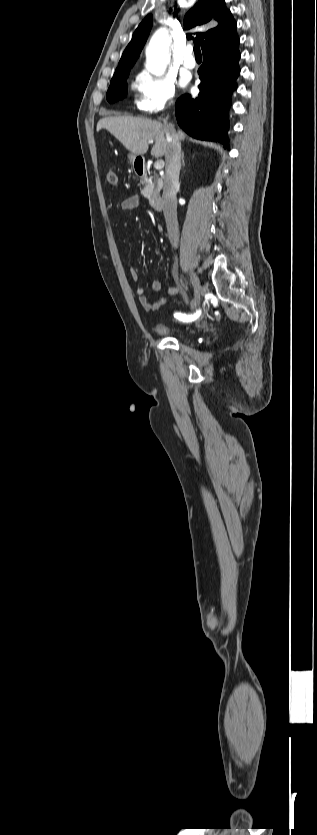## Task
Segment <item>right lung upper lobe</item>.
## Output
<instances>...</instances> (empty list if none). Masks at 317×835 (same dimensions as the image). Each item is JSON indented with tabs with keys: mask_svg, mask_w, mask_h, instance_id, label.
I'll return each mask as SVG.
<instances>
[{
	"mask_svg": "<svg viewBox=\"0 0 317 835\" xmlns=\"http://www.w3.org/2000/svg\"><path fill=\"white\" fill-rule=\"evenodd\" d=\"M186 29L199 28L194 32L195 40L203 48L218 40L236 33V22L227 10L224 0H198L184 17ZM152 27V15H148L135 30L131 42L122 54L116 71L131 69L147 40ZM191 34L187 35L190 38Z\"/></svg>",
	"mask_w": 317,
	"mask_h": 835,
	"instance_id": "1",
	"label": "right lung upper lobe"
}]
</instances>
